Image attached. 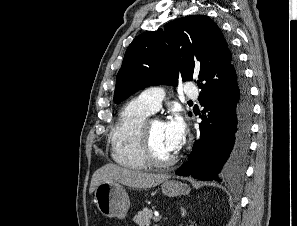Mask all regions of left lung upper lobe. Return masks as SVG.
Segmentation results:
<instances>
[{"label": "left lung upper lobe", "instance_id": "left-lung-upper-lobe-1", "mask_svg": "<svg viewBox=\"0 0 297 226\" xmlns=\"http://www.w3.org/2000/svg\"><path fill=\"white\" fill-rule=\"evenodd\" d=\"M236 74V57L218 26L204 15L186 16L132 41L117 74L114 101L160 83L176 85L196 76L201 86Z\"/></svg>", "mask_w": 297, "mask_h": 226}]
</instances>
